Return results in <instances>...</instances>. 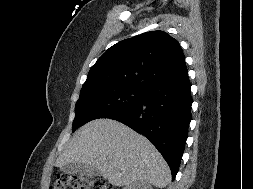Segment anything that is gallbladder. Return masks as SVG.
Here are the masks:
<instances>
[{
	"instance_id": "gallbladder-1",
	"label": "gallbladder",
	"mask_w": 253,
	"mask_h": 189,
	"mask_svg": "<svg viewBox=\"0 0 253 189\" xmlns=\"http://www.w3.org/2000/svg\"><path fill=\"white\" fill-rule=\"evenodd\" d=\"M61 171L69 174H78L81 176H98L99 171L96 167L85 163H69L61 167Z\"/></svg>"
}]
</instances>
